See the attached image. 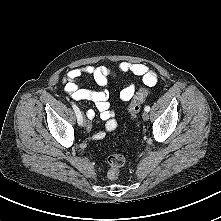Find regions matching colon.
I'll return each instance as SVG.
<instances>
[{"mask_svg": "<svg viewBox=\"0 0 221 221\" xmlns=\"http://www.w3.org/2000/svg\"><path fill=\"white\" fill-rule=\"evenodd\" d=\"M149 91L147 88H141L132 99L128 112L131 117L136 118L143 103L147 99ZM109 169L108 178L114 180L118 177L121 167L125 164V157L122 154H112L107 159Z\"/></svg>", "mask_w": 221, "mask_h": 221, "instance_id": "1", "label": "colon"}]
</instances>
